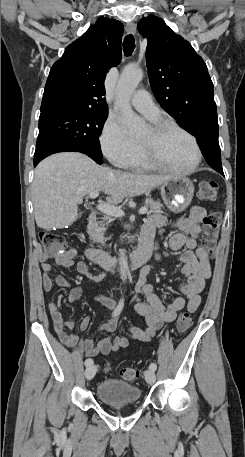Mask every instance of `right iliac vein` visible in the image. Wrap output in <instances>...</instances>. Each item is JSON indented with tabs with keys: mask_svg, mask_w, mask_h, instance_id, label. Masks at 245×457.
<instances>
[{
	"mask_svg": "<svg viewBox=\"0 0 245 457\" xmlns=\"http://www.w3.org/2000/svg\"><path fill=\"white\" fill-rule=\"evenodd\" d=\"M96 371H97V367L96 365H90L86 368L85 370V377L87 380H92V378L94 377V375L96 374Z\"/></svg>",
	"mask_w": 245,
	"mask_h": 457,
	"instance_id": "63e3f726",
	"label": "right iliac vein"
}]
</instances>
